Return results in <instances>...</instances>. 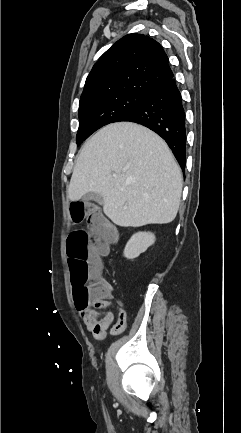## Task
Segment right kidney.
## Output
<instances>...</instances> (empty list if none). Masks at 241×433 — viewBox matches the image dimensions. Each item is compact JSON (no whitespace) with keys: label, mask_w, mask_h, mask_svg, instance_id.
<instances>
[{"label":"right kidney","mask_w":241,"mask_h":433,"mask_svg":"<svg viewBox=\"0 0 241 433\" xmlns=\"http://www.w3.org/2000/svg\"><path fill=\"white\" fill-rule=\"evenodd\" d=\"M155 242V235L151 232H138L134 234L127 242L124 249V256L127 259L137 258L145 252L148 247Z\"/></svg>","instance_id":"right-kidney-1"}]
</instances>
